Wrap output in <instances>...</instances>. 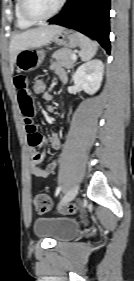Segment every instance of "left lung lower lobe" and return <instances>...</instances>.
Returning a JSON list of instances; mask_svg holds the SVG:
<instances>
[{
	"label": "left lung lower lobe",
	"mask_w": 134,
	"mask_h": 281,
	"mask_svg": "<svg viewBox=\"0 0 134 281\" xmlns=\"http://www.w3.org/2000/svg\"><path fill=\"white\" fill-rule=\"evenodd\" d=\"M109 12L110 0H69L64 10L48 22L94 37L109 53Z\"/></svg>",
	"instance_id": "0a47b994"
}]
</instances>
